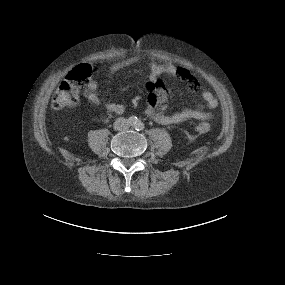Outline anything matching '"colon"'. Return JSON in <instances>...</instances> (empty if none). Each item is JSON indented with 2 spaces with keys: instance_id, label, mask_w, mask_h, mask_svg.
<instances>
[{
  "instance_id": "obj_1",
  "label": "colon",
  "mask_w": 285,
  "mask_h": 285,
  "mask_svg": "<svg viewBox=\"0 0 285 285\" xmlns=\"http://www.w3.org/2000/svg\"><path fill=\"white\" fill-rule=\"evenodd\" d=\"M178 74L186 77L187 80L193 77L188 71L182 69L178 71ZM90 76L91 67L87 64H80L72 69L53 94L52 107L59 110L76 106L80 101L81 90L87 85ZM208 130L209 125L207 123H199L194 128V132L197 134L206 133Z\"/></svg>"
}]
</instances>
